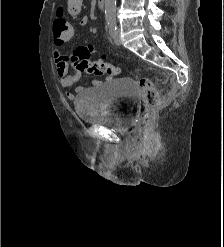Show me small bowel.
Instances as JSON below:
<instances>
[{
  "mask_svg": "<svg viewBox=\"0 0 224 247\" xmlns=\"http://www.w3.org/2000/svg\"><path fill=\"white\" fill-rule=\"evenodd\" d=\"M81 1L82 0H68V6L69 10L72 14H78L81 10ZM89 18L88 16H82L78 22V27H84L88 24ZM55 46L57 49H55L53 53L54 62L56 66L57 75L60 79L61 86L64 88L70 87L75 81L79 79L80 73L77 72L74 75L69 74V68H68V61L69 58L67 55H65L59 48L63 46L66 42L61 41L59 39H53ZM79 91V89H78ZM65 96L69 100H73L75 98L74 93L67 91L65 93Z\"/></svg>",
  "mask_w": 224,
  "mask_h": 247,
  "instance_id": "1",
  "label": "small bowel"
}]
</instances>
